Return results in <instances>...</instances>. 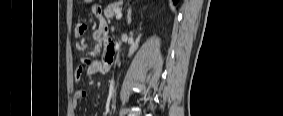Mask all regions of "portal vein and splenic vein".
Segmentation results:
<instances>
[{
	"mask_svg": "<svg viewBox=\"0 0 283 116\" xmlns=\"http://www.w3.org/2000/svg\"><path fill=\"white\" fill-rule=\"evenodd\" d=\"M122 18V12L120 10L116 11V19L119 20Z\"/></svg>",
	"mask_w": 283,
	"mask_h": 116,
	"instance_id": "1",
	"label": "portal vein and splenic vein"
}]
</instances>
